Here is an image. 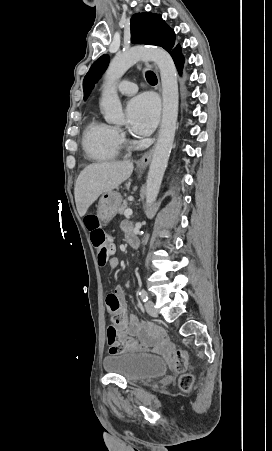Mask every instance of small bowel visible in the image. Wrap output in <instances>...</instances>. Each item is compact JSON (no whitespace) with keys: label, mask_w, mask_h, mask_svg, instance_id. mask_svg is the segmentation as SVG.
Here are the masks:
<instances>
[{"label":"small bowel","mask_w":272,"mask_h":451,"mask_svg":"<svg viewBox=\"0 0 272 451\" xmlns=\"http://www.w3.org/2000/svg\"><path fill=\"white\" fill-rule=\"evenodd\" d=\"M122 229L125 232L127 240L130 235H135L128 222H123ZM107 265L110 269H115L119 265L118 258L111 257ZM106 304L108 311L112 314V317L117 314H123L126 317L127 304L125 301V292L123 287L117 286L113 292L108 294L106 297ZM118 337L121 339H134L136 337L143 345L151 347L155 351H158L157 349L164 343L166 338L160 328L153 325L142 324L141 321L133 314H131L126 320V327L119 331Z\"/></svg>","instance_id":"1"}]
</instances>
